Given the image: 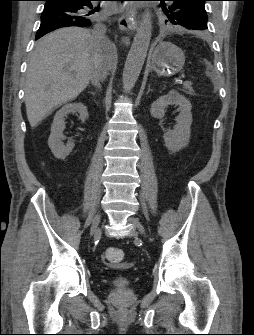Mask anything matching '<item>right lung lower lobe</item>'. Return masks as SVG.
I'll list each match as a JSON object with an SVG mask.
<instances>
[{"label": "right lung lower lobe", "mask_w": 254, "mask_h": 335, "mask_svg": "<svg viewBox=\"0 0 254 335\" xmlns=\"http://www.w3.org/2000/svg\"><path fill=\"white\" fill-rule=\"evenodd\" d=\"M46 1L41 14V25L36 40L60 27L91 25L95 0H44Z\"/></svg>", "instance_id": "right-lung-lower-lobe-1"}]
</instances>
